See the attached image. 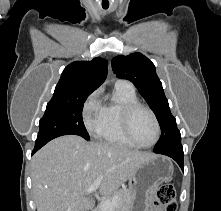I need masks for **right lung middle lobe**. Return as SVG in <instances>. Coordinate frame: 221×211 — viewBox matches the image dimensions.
I'll list each match as a JSON object with an SVG mask.
<instances>
[{"label":"right lung middle lobe","mask_w":221,"mask_h":211,"mask_svg":"<svg viewBox=\"0 0 221 211\" xmlns=\"http://www.w3.org/2000/svg\"><path fill=\"white\" fill-rule=\"evenodd\" d=\"M89 95L53 97L40 119L36 142L69 134L79 135L88 140L89 134L83 123L82 108Z\"/></svg>","instance_id":"obj_1"}]
</instances>
